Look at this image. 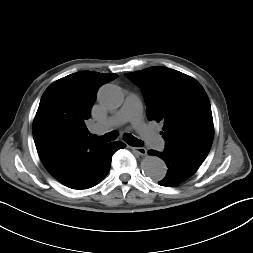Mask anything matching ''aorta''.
Listing matches in <instances>:
<instances>
[{
    "mask_svg": "<svg viewBox=\"0 0 253 253\" xmlns=\"http://www.w3.org/2000/svg\"><path fill=\"white\" fill-rule=\"evenodd\" d=\"M123 101V93L116 85L106 84L98 92V102L106 110L119 108ZM141 169L153 181L162 180L167 172L165 162L157 156H146L141 162Z\"/></svg>",
    "mask_w": 253,
    "mask_h": 253,
    "instance_id": "762f6f07",
    "label": "aorta"
}]
</instances>
